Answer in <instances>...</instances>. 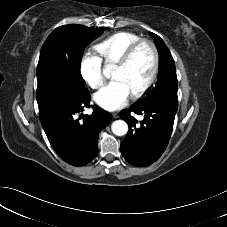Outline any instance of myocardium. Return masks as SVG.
<instances>
[{
	"instance_id": "obj_1",
	"label": "myocardium",
	"mask_w": 227,
	"mask_h": 227,
	"mask_svg": "<svg viewBox=\"0 0 227 227\" xmlns=\"http://www.w3.org/2000/svg\"><path fill=\"white\" fill-rule=\"evenodd\" d=\"M142 45H147L150 47L153 55V67H152L151 75L146 81V83L139 90L131 94V97L133 99H138L142 97L146 92H148V90L152 87V85L155 83L158 77L159 69H160V55H159L158 48L152 40H149L146 38H140L139 40L131 44L124 52L122 57L116 62L117 67H120V68L126 67L132 60L136 51Z\"/></svg>"
}]
</instances>
